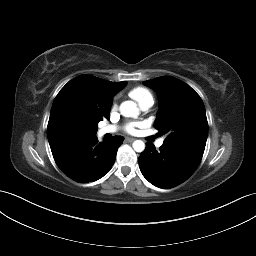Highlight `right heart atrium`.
<instances>
[{
    "label": "right heart atrium",
    "mask_w": 256,
    "mask_h": 256,
    "mask_svg": "<svg viewBox=\"0 0 256 256\" xmlns=\"http://www.w3.org/2000/svg\"><path fill=\"white\" fill-rule=\"evenodd\" d=\"M116 107V104L114 103L113 105H112V108H115Z\"/></svg>",
    "instance_id": "right-heart-atrium-1"
}]
</instances>
